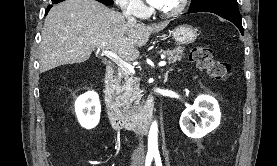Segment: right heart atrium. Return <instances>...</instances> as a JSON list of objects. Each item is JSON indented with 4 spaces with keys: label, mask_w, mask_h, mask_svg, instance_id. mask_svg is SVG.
Listing matches in <instances>:
<instances>
[{
    "label": "right heart atrium",
    "mask_w": 277,
    "mask_h": 166,
    "mask_svg": "<svg viewBox=\"0 0 277 166\" xmlns=\"http://www.w3.org/2000/svg\"><path fill=\"white\" fill-rule=\"evenodd\" d=\"M114 1L122 11L128 14L140 16V15H143L146 11V7L144 6L141 0H114Z\"/></svg>",
    "instance_id": "d8ad5b80"
}]
</instances>
